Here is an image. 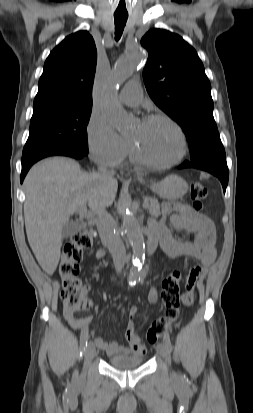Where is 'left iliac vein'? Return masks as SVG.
Segmentation results:
<instances>
[{"instance_id": "4c4485c4", "label": "left iliac vein", "mask_w": 253, "mask_h": 413, "mask_svg": "<svg viewBox=\"0 0 253 413\" xmlns=\"http://www.w3.org/2000/svg\"><path fill=\"white\" fill-rule=\"evenodd\" d=\"M158 354L170 365L171 358L169 348L164 343H159L156 347Z\"/></svg>"}]
</instances>
